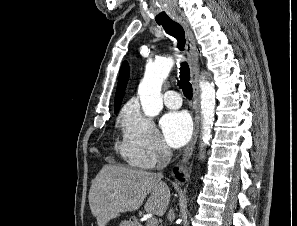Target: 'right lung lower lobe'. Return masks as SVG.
<instances>
[{
  "instance_id": "98d812e1",
  "label": "right lung lower lobe",
  "mask_w": 297,
  "mask_h": 226,
  "mask_svg": "<svg viewBox=\"0 0 297 226\" xmlns=\"http://www.w3.org/2000/svg\"><path fill=\"white\" fill-rule=\"evenodd\" d=\"M174 172H175L176 177H177L179 180L184 181V179L181 178V176H180V174L178 173V170H177L176 168L174 169Z\"/></svg>"
}]
</instances>
